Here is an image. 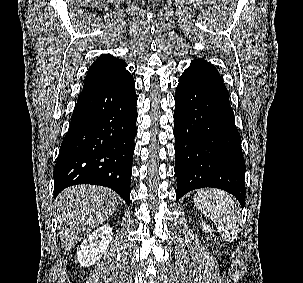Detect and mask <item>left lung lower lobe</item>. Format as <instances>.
<instances>
[{
	"mask_svg": "<svg viewBox=\"0 0 303 283\" xmlns=\"http://www.w3.org/2000/svg\"><path fill=\"white\" fill-rule=\"evenodd\" d=\"M176 198L214 187L245 205V161L228 92L217 69L197 59L179 78L174 111Z\"/></svg>",
	"mask_w": 303,
	"mask_h": 283,
	"instance_id": "0a47b994",
	"label": "left lung lower lobe"
}]
</instances>
